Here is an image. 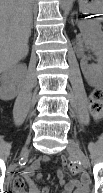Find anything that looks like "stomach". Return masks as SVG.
I'll use <instances>...</instances> for the list:
<instances>
[{
  "instance_id": "0dacf381",
  "label": "stomach",
  "mask_w": 103,
  "mask_h": 193,
  "mask_svg": "<svg viewBox=\"0 0 103 193\" xmlns=\"http://www.w3.org/2000/svg\"><path fill=\"white\" fill-rule=\"evenodd\" d=\"M79 9L83 13H99L102 11L103 0H78Z\"/></svg>"
}]
</instances>
